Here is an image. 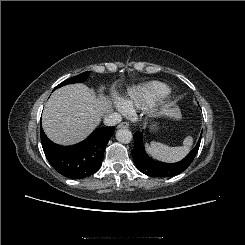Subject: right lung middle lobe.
<instances>
[{
    "instance_id": "dd1d6c3e",
    "label": "right lung middle lobe",
    "mask_w": 245,
    "mask_h": 245,
    "mask_svg": "<svg viewBox=\"0 0 245 245\" xmlns=\"http://www.w3.org/2000/svg\"><path fill=\"white\" fill-rule=\"evenodd\" d=\"M90 71L83 72L75 77H72L70 79H67L66 81L62 82L60 85H58L56 88H59L61 86L72 84V83H79L85 81L89 76ZM55 88V89H56Z\"/></svg>"
}]
</instances>
